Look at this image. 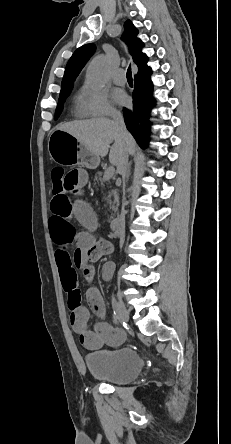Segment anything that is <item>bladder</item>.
I'll use <instances>...</instances> for the list:
<instances>
[{
    "label": "bladder",
    "instance_id": "bladder-1",
    "mask_svg": "<svg viewBox=\"0 0 231 444\" xmlns=\"http://www.w3.org/2000/svg\"><path fill=\"white\" fill-rule=\"evenodd\" d=\"M85 364L93 377L117 385L132 382L143 368L140 355L129 348L88 354Z\"/></svg>",
    "mask_w": 231,
    "mask_h": 444
}]
</instances>
